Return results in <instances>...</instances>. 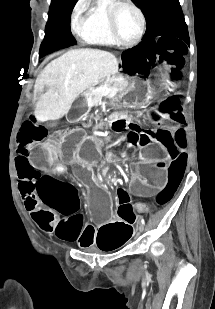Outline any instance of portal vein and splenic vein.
Here are the masks:
<instances>
[{"label": "portal vein and splenic vein", "instance_id": "18ae733b", "mask_svg": "<svg viewBox=\"0 0 215 309\" xmlns=\"http://www.w3.org/2000/svg\"><path fill=\"white\" fill-rule=\"evenodd\" d=\"M102 90H103L104 96H106V94H115L114 88H102Z\"/></svg>", "mask_w": 215, "mask_h": 309}]
</instances>
